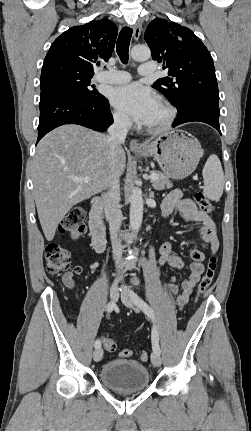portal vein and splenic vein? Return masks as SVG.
Wrapping results in <instances>:
<instances>
[{"label": "portal vein and splenic vein", "mask_w": 251, "mask_h": 431, "mask_svg": "<svg viewBox=\"0 0 251 431\" xmlns=\"http://www.w3.org/2000/svg\"><path fill=\"white\" fill-rule=\"evenodd\" d=\"M149 178L151 181H153V180H156L158 178V175L153 173L149 176ZM71 179L73 181L80 182V183H89L91 181L90 177H87V176L86 177L73 176V177H71Z\"/></svg>", "instance_id": "18ae733b"}]
</instances>
